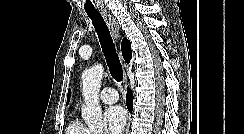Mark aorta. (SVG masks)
Segmentation results:
<instances>
[{"label": "aorta", "mask_w": 244, "mask_h": 134, "mask_svg": "<svg viewBox=\"0 0 244 134\" xmlns=\"http://www.w3.org/2000/svg\"><path fill=\"white\" fill-rule=\"evenodd\" d=\"M103 72V66L96 64L82 73V94L85 101L82 108V117L88 127L92 129L106 127V121L103 119L102 109L99 104V91Z\"/></svg>", "instance_id": "obj_1"}]
</instances>
